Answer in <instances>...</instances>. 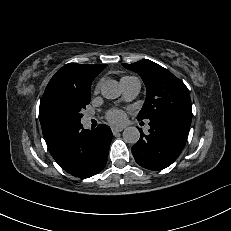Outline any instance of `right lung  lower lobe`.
I'll use <instances>...</instances> for the list:
<instances>
[{
    "label": "right lung lower lobe",
    "instance_id": "obj_1",
    "mask_svg": "<svg viewBox=\"0 0 231 231\" xmlns=\"http://www.w3.org/2000/svg\"><path fill=\"white\" fill-rule=\"evenodd\" d=\"M112 137L110 127L105 124L86 130L79 123L60 129L47 141V146L52 157L66 172L89 178L106 165Z\"/></svg>",
    "mask_w": 231,
    "mask_h": 231
}]
</instances>
